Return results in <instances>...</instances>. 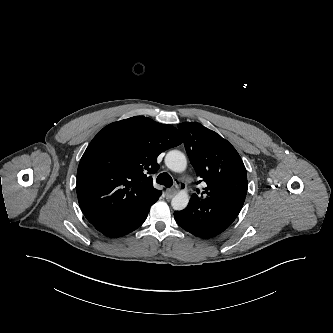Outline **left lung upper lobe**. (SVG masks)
I'll return each instance as SVG.
<instances>
[{
  "label": "left lung upper lobe",
  "instance_id": "obj_1",
  "mask_svg": "<svg viewBox=\"0 0 333 333\" xmlns=\"http://www.w3.org/2000/svg\"><path fill=\"white\" fill-rule=\"evenodd\" d=\"M184 145L197 175L207 186L200 198L227 191L247 193V173L235 148L216 132L199 123L178 124ZM201 182V181H200ZM197 193H200L197 190ZM192 197H198L193 194Z\"/></svg>",
  "mask_w": 333,
  "mask_h": 333
}]
</instances>
